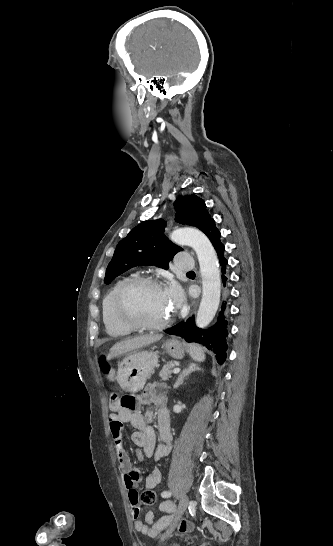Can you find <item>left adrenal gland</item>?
<instances>
[{
    "instance_id": "a2214340",
    "label": "left adrenal gland",
    "mask_w": 333,
    "mask_h": 546,
    "mask_svg": "<svg viewBox=\"0 0 333 546\" xmlns=\"http://www.w3.org/2000/svg\"><path fill=\"white\" fill-rule=\"evenodd\" d=\"M196 370H200L199 367H197L194 363H191L188 368H185L183 370V372L179 375V377L177 378L175 384H174V388L177 389L179 388V386H181L184 382V379L189 376V374H191L192 372H195Z\"/></svg>"
}]
</instances>
